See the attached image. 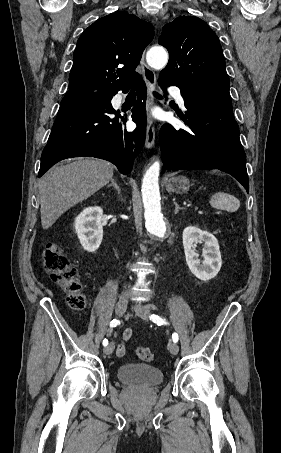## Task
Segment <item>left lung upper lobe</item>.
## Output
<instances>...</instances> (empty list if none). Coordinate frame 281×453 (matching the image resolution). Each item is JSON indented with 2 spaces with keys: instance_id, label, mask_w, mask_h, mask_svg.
Returning <instances> with one entry per match:
<instances>
[{
  "instance_id": "left-lung-upper-lobe-1",
  "label": "left lung upper lobe",
  "mask_w": 281,
  "mask_h": 453,
  "mask_svg": "<svg viewBox=\"0 0 281 453\" xmlns=\"http://www.w3.org/2000/svg\"><path fill=\"white\" fill-rule=\"evenodd\" d=\"M158 43L170 57L159 78L179 87L183 97L230 98L222 48L206 22L179 16L163 27Z\"/></svg>"
}]
</instances>
